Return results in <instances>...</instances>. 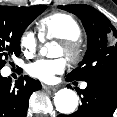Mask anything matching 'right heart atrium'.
Here are the masks:
<instances>
[{"label": "right heart atrium", "mask_w": 117, "mask_h": 117, "mask_svg": "<svg viewBox=\"0 0 117 117\" xmlns=\"http://www.w3.org/2000/svg\"><path fill=\"white\" fill-rule=\"evenodd\" d=\"M19 45L23 53L30 56L36 52L39 46V41L32 31L26 30L19 38Z\"/></svg>", "instance_id": "d8ad5b80"}]
</instances>
